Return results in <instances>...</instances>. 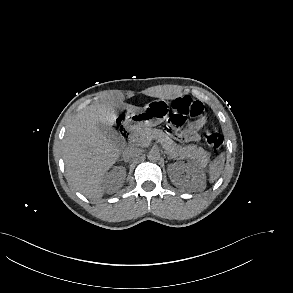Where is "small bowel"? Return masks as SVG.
I'll list each match as a JSON object with an SVG mask.
<instances>
[{"label":"small bowel","mask_w":293,"mask_h":293,"mask_svg":"<svg viewBox=\"0 0 293 293\" xmlns=\"http://www.w3.org/2000/svg\"><path fill=\"white\" fill-rule=\"evenodd\" d=\"M205 124V117H200L193 121L185 130L183 139L190 142H196L200 140L199 131Z\"/></svg>","instance_id":"1"}]
</instances>
